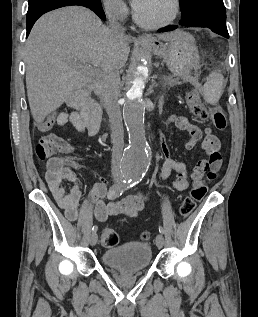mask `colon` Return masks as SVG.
Listing matches in <instances>:
<instances>
[{
  "mask_svg": "<svg viewBox=\"0 0 258 317\" xmlns=\"http://www.w3.org/2000/svg\"><path fill=\"white\" fill-rule=\"evenodd\" d=\"M187 102L191 113L200 120H211L214 126L219 130H224L227 127V118L222 109L208 110L202 102L201 90L195 89L188 94ZM36 155L39 159L45 160L48 158L69 155L74 151V147L55 133H49L42 136L36 146ZM68 164L75 165L72 159L66 160ZM216 170H210L207 174L209 180L215 179ZM207 192V187L204 184L196 185L190 194L181 202L179 213L183 217L189 216L199 201H201ZM142 239H148V233H142ZM118 235L111 228H105L101 232V244L104 247H114L118 244Z\"/></svg>",
  "mask_w": 258,
  "mask_h": 317,
  "instance_id": "1",
  "label": "colon"
}]
</instances>
